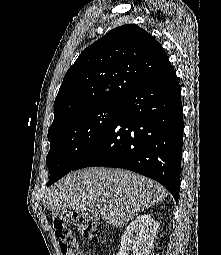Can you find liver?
I'll list each match as a JSON object with an SVG mask.
<instances>
[{"instance_id":"6515ba94","label":"liver","mask_w":221,"mask_h":255,"mask_svg":"<svg viewBox=\"0 0 221 255\" xmlns=\"http://www.w3.org/2000/svg\"><path fill=\"white\" fill-rule=\"evenodd\" d=\"M167 195L163 186L145 176L93 167L69 173L47 190L43 203L57 212H85L98 207L106 223L121 228Z\"/></svg>"}]
</instances>
